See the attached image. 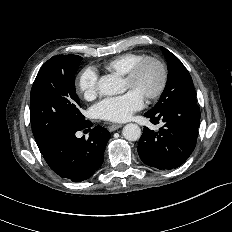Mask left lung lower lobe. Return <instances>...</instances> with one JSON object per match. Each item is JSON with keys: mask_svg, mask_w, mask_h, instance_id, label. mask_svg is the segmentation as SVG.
<instances>
[{"mask_svg": "<svg viewBox=\"0 0 232 232\" xmlns=\"http://www.w3.org/2000/svg\"><path fill=\"white\" fill-rule=\"evenodd\" d=\"M153 124L163 122L158 132L144 127L138 144L140 159L159 170H171L181 166L196 146L200 124V108L197 103L180 100L158 111L144 114Z\"/></svg>", "mask_w": 232, "mask_h": 232, "instance_id": "1", "label": "left lung lower lobe"}]
</instances>
